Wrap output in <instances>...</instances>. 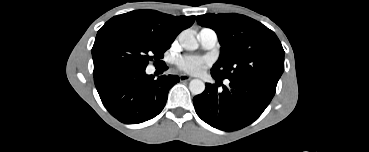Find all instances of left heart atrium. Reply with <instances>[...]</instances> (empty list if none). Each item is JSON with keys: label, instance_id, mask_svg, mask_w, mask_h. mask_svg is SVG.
Masks as SVG:
<instances>
[{"label": "left heart atrium", "instance_id": "1", "mask_svg": "<svg viewBox=\"0 0 369 152\" xmlns=\"http://www.w3.org/2000/svg\"><path fill=\"white\" fill-rule=\"evenodd\" d=\"M204 64L205 60L197 56L181 57L176 61V65L180 70L190 74H198Z\"/></svg>", "mask_w": 369, "mask_h": 152}]
</instances>
